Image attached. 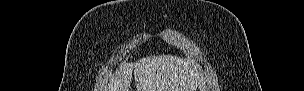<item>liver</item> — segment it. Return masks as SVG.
<instances>
[{"label": "liver", "instance_id": "1", "mask_svg": "<svg viewBox=\"0 0 304 91\" xmlns=\"http://www.w3.org/2000/svg\"><path fill=\"white\" fill-rule=\"evenodd\" d=\"M133 68L137 91H196L199 84L200 68L189 58L159 55L121 65L105 91H129Z\"/></svg>", "mask_w": 304, "mask_h": 91}]
</instances>
